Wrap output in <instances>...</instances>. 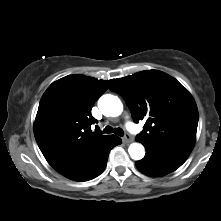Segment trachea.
<instances>
[{"mask_svg":"<svg viewBox=\"0 0 221 221\" xmlns=\"http://www.w3.org/2000/svg\"><path fill=\"white\" fill-rule=\"evenodd\" d=\"M118 135V136H123L124 132L121 128H115L113 129L111 126H106L105 129L103 130V133H113Z\"/></svg>","mask_w":221,"mask_h":221,"instance_id":"obj_1","label":"trachea"}]
</instances>
